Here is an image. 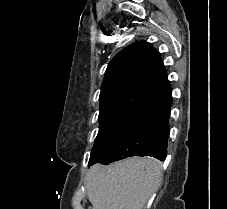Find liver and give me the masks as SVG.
<instances>
[{
  "label": "liver",
  "instance_id": "liver-1",
  "mask_svg": "<svg viewBox=\"0 0 227 209\" xmlns=\"http://www.w3.org/2000/svg\"><path fill=\"white\" fill-rule=\"evenodd\" d=\"M162 165L156 159L128 157L109 167L93 165L86 177L93 209H144L156 193Z\"/></svg>",
  "mask_w": 227,
  "mask_h": 209
}]
</instances>
